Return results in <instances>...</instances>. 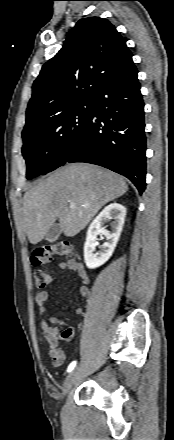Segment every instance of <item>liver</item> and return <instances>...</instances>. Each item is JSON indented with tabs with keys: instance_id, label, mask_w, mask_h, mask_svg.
Returning <instances> with one entry per match:
<instances>
[{
	"instance_id": "liver-1",
	"label": "liver",
	"mask_w": 174,
	"mask_h": 440,
	"mask_svg": "<svg viewBox=\"0 0 174 440\" xmlns=\"http://www.w3.org/2000/svg\"><path fill=\"white\" fill-rule=\"evenodd\" d=\"M127 191V183L117 173L85 163L65 165L24 194L23 229L36 245L58 220L64 235L73 237L105 204ZM70 202L75 203L74 208Z\"/></svg>"
}]
</instances>
